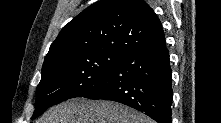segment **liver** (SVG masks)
<instances>
[{
    "label": "liver",
    "instance_id": "6515ba94",
    "mask_svg": "<svg viewBox=\"0 0 221 123\" xmlns=\"http://www.w3.org/2000/svg\"><path fill=\"white\" fill-rule=\"evenodd\" d=\"M37 123H153V121L122 104L75 98L52 107Z\"/></svg>",
    "mask_w": 221,
    "mask_h": 123
}]
</instances>
